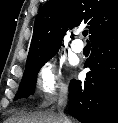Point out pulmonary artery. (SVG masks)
<instances>
[{
    "mask_svg": "<svg viewBox=\"0 0 118 123\" xmlns=\"http://www.w3.org/2000/svg\"><path fill=\"white\" fill-rule=\"evenodd\" d=\"M72 50L76 53H82L84 50V43L80 39H76L71 44Z\"/></svg>",
    "mask_w": 118,
    "mask_h": 123,
    "instance_id": "e3ab8cb5",
    "label": "pulmonary artery"
}]
</instances>
